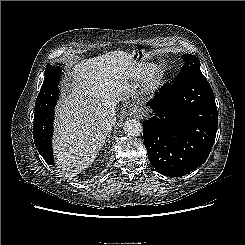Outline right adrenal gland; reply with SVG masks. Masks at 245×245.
<instances>
[{
  "label": "right adrenal gland",
  "instance_id": "1",
  "mask_svg": "<svg viewBox=\"0 0 245 245\" xmlns=\"http://www.w3.org/2000/svg\"><path fill=\"white\" fill-rule=\"evenodd\" d=\"M109 137H110V134L107 136V140H106L107 143H110Z\"/></svg>",
  "mask_w": 245,
  "mask_h": 245
}]
</instances>
